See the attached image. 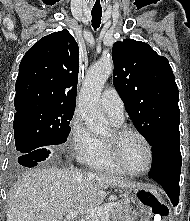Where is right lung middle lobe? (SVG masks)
Here are the masks:
<instances>
[{"label":"right lung middle lobe","instance_id":"right-lung-middle-lobe-1","mask_svg":"<svg viewBox=\"0 0 190 221\" xmlns=\"http://www.w3.org/2000/svg\"><path fill=\"white\" fill-rule=\"evenodd\" d=\"M74 108L34 106L16 112L14 137L16 150L27 154L42 147H52L67 140Z\"/></svg>","mask_w":190,"mask_h":221}]
</instances>
